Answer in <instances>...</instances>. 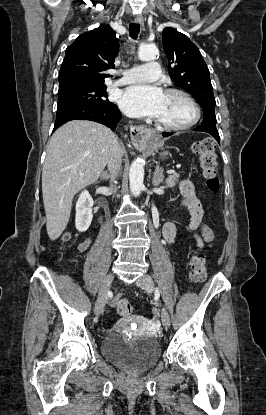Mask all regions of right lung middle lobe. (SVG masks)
<instances>
[{
  "label": "right lung middle lobe",
  "instance_id": "1",
  "mask_svg": "<svg viewBox=\"0 0 266 415\" xmlns=\"http://www.w3.org/2000/svg\"><path fill=\"white\" fill-rule=\"evenodd\" d=\"M106 85L84 87L58 93V106L82 104L98 107H109L114 104L108 101Z\"/></svg>",
  "mask_w": 266,
  "mask_h": 415
}]
</instances>
